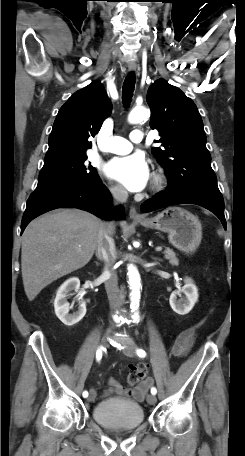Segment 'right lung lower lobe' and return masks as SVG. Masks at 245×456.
I'll use <instances>...</instances> for the list:
<instances>
[{"label": "right lung lower lobe", "instance_id": "right-lung-lower-lobe-1", "mask_svg": "<svg viewBox=\"0 0 245 456\" xmlns=\"http://www.w3.org/2000/svg\"><path fill=\"white\" fill-rule=\"evenodd\" d=\"M110 198L111 195L101 179L90 184L34 191L27 201L21 234L34 218L57 208H79L103 219H124L123 208L112 209Z\"/></svg>", "mask_w": 245, "mask_h": 456}]
</instances>
